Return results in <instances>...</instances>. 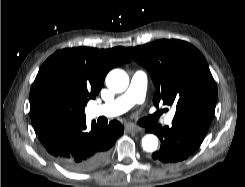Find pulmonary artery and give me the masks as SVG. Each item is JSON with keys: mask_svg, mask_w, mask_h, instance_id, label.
I'll list each match as a JSON object with an SVG mask.
<instances>
[{"mask_svg": "<svg viewBox=\"0 0 245 187\" xmlns=\"http://www.w3.org/2000/svg\"><path fill=\"white\" fill-rule=\"evenodd\" d=\"M147 75L143 71L133 74L128 89L110 103L90 108L91 117H114L128 111L134 104L141 103L146 96ZM174 113H170L165 119L166 124H171Z\"/></svg>", "mask_w": 245, "mask_h": 187, "instance_id": "e3ab8cb5", "label": "pulmonary artery"}]
</instances>
